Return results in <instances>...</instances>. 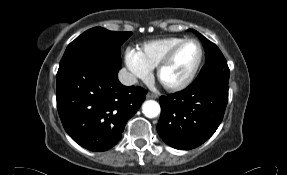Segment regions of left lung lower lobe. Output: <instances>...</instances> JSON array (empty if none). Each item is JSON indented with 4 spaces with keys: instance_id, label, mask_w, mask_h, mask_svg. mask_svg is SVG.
<instances>
[{
    "instance_id": "1",
    "label": "left lung lower lobe",
    "mask_w": 287,
    "mask_h": 175,
    "mask_svg": "<svg viewBox=\"0 0 287 175\" xmlns=\"http://www.w3.org/2000/svg\"><path fill=\"white\" fill-rule=\"evenodd\" d=\"M157 131L179 150H190L208 140L220 125L228 102V84L209 82L161 96Z\"/></svg>"
}]
</instances>
